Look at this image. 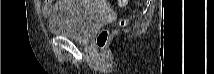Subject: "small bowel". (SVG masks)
Wrapping results in <instances>:
<instances>
[{"instance_id": "obj_1", "label": "small bowel", "mask_w": 214, "mask_h": 74, "mask_svg": "<svg viewBox=\"0 0 214 74\" xmlns=\"http://www.w3.org/2000/svg\"><path fill=\"white\" fill-rule=\"evenodd\" d=\"M96 3L101 4V2H96ZM70 4H71L70 1H59L55 4V7H53L50 2H46L42 6V14L45 17L53 16L57 8H63V7L69 6Z\"/></svg>"}]
</instances>
